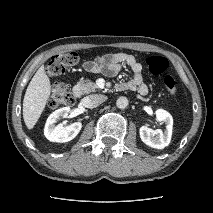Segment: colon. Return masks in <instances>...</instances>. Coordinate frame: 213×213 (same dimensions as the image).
<instances>
[{"label":"colon","instance_id":"obj_1","mask_svg":"<svg viewBox=\"0 0 213 213\" xmlns=\"http://www.w3.org/2000/svg\"><path fill=\"white\" fill-rule=\"evenodd\" d=\"M79 57L75 52L57 54L51 57L47 64L46 71L50 76H58L70 71L77 63ZM148 70L155 75L162 74L168 68V60L162 56H150L146 60ZM164 87L170 94H176L179 90V84L171 75L165 76ZM74 95L63 83L53 85L49 98V105L52 108H62L74 103Z\"/></svg>","mask_w":213,"mask_h":213}]
</instances>
